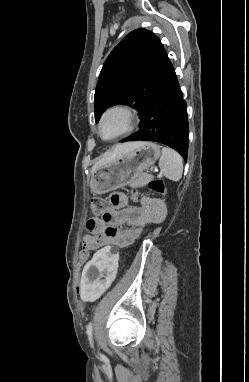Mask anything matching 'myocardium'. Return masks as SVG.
I'll return each mask as SVG.
<instances>
[{"mask_svg":"<svg viewBox=\"0 0 249 382\" xmlns=\"http://www.w3.org/2000/svg\"><path fill=\"white\" fill-rule=\"evenodd\" d=\"M112 116H118L122 119L123 122V128L120 132L116 133L113 136L106 137L103 134V124L104 122L112 117ZM135 115L133 111L125 106V105H113L108 107L104 112L101 114L98 123H97V131L99 137L104 141H114L120 138H123L130 134L134 127H135Z\"/></svg>","mask_w":249,"mask_h":382,"instance_id":"f54148a6","label":"myocardium"}]
</instances>
